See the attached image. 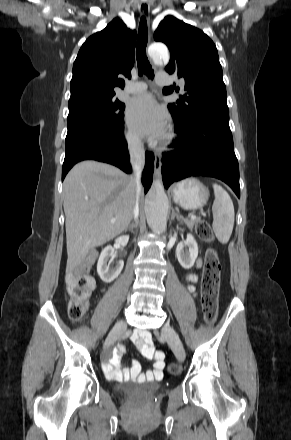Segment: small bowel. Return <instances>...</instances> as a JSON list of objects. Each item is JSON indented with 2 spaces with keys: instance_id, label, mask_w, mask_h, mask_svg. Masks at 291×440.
I'll return each instance as SVG.
<instances>
[{
  "instance_id": "1",
  "label": "small bowel",
  "mask_w": 291,
  "mask_h": 440,
  "mask_svg": "<svg viewBox=\"0 0 291 440\" xmlns=\"http://www.w3.org/2000/svg\"><path fill=\"white\" fill-rule=\"evenodd\" d=\"M190 283L197 282V275L192 274L188 277ZM191 291H194L193 285L189 286ZM132 339L136 342L139 350L142 352L144 357L150 361H153V370L142 372L141 367L137 362L132 364L130 369L121 368L120 353L124 351L121 347L118 352L113 353V355L104 364L105 373L109 378H131L137 382L153 381L162 376L163 370L165 369V363L163 360V355H157L154 353L153 343L150 339V335L147 331H136L132 334Z\"/></svg>"
}]
</instances>
